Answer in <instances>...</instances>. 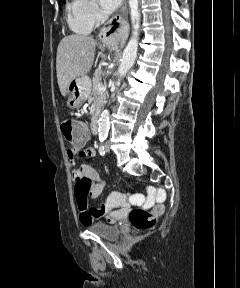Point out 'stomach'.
<instances>
[{"mask_svg": "<svg viewBox=\"0 0 240 288\" xmlns=\"http://www.w3.org/2000/svg\"><path fill=\"white\" fill-rule=\"evenodd\" d=\"M91 80L88 76H81L68 85L67 88V106L70 109L79 108L82 103L90 96Z\"/></svg>", "mask_w": 240, "mask_h": 288, "instance_id": "0dacf381", "label": "stomach"}]
</instances>
